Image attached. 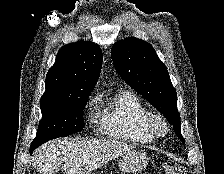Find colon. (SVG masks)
I'll list each match as a JSON object with an SVG mask.
<instances>
[{
	"label": "colon",
	"instance_id": "5ec220e1",
	"mask_svg": "<svg viewBox=\"0 0 224 174\" xmlns=\"http://www.w3.org/2000/svg\"><path fill=\"white\" fill-rule=\"evenodd\" d=\"M163 167L164 174H183L182 167L173 161H166Z\"/></svg>",
	"mask_w": 224,
	"mask_h": 174
}]
</instances>
